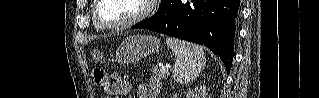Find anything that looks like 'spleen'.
Instances as JSON below:
<instances>
[{"label":"spleen","instance_id":"1","mask_svg":"<svg viewBox=\"0 0 319 98\" xmlns=\"http://www.w3.org/2000/svg\"><path fill=\"white\" fill-rule=\"evenodd\" d=\"M166 44L176 56L173 78L180 84H186L199 76L205 65V54L200 46L193 43L167 38Z\"/></svg>","mask_w":319,"mask_h":98}]
</instances>
